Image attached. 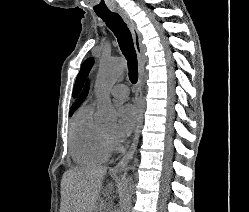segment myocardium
Returning a JSON list of instances; mask_svg holds the SVG:
<instances>
[{"label":"myocardium","mask_w":249,"mask_h":212,"mask_svg":"<svg viewBox=\"0 0 249 212\" xmlns=\"http://www.w3.org/2000/svg\"><path fill=\"white\" fill-rule=\"evenodd\" d=\"M104 138H105V136H104V135H102V140H104Z\"/></svg>","instance_id":"obj_1"}]
</instances>
